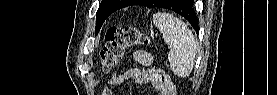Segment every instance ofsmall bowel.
<instances>
[{
  "label": "small bowel",
  "instance_id": "1",
  "mask_svg": "<svg viewBox=\"0 0 277 95\" xmlns=\"http://www.w3.org/2000/svg\"><path fill=\"white\" fill-rule=\"evenodd\" d=\"M134 61L141 65V68L132 67L126 72L113 75L109 78V84L118 86L133 79L140 84L153 85V87L160 91V95H174L171 93L173 87L172 82L158 84V76L153 70V58L148 52L142 50L135 51ZM102 94L112 95L113 92L109 87H104Z\"/></svg>",
  "mask_w": 277,
  "mask_h": 95
}]
</instances>
